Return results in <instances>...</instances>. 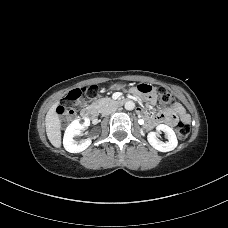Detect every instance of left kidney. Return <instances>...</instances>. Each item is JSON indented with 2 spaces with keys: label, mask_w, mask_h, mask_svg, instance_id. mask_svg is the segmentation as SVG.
I'll use <instances>...</instances> for the list:
<instances>
[{
  "label": "left kidney",
  "mask_w": 228,
  "mask_h": 228,
  "mask_svg": "<svg viewBox=\"0 0 228 228\" xmlns=\"http://www.w3.org/2000/svg\"><path fill=\"white\" fill-rule=\"evenodd\" d=\"M163 131L168 137V142L164 143L157 138L158 132ZM147 140L150 145L160 152H169L174 150L178 145V140L175 132L167 125L160 124L156 127V132H150L147 135Z\"/></svg>",
  "instance_id": "5707ae66"
}]
</instances>
